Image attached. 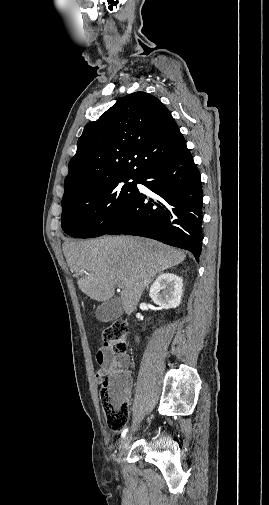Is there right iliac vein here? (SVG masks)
I'll return each mask as SVG.
<instances>
[{
  "instance_id": "1",
  "label": "right iliac vein",
  "mask_w": 269,
  "mask_h": 505,
  "mask_svg": "<svg viewBox=\"0 0 269 505\" xmlns=\"http://www.w3.org/2000/svg\"><path fill=\"white\" fill-rule=\"evenodd\" d=\"M131 439H132L131 433L122 439L121 444H120V448H119V457H121L124 454V452L126 451V449L129 446Z\"/></svg>"
}]
</instances>
